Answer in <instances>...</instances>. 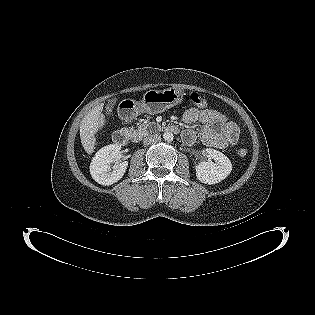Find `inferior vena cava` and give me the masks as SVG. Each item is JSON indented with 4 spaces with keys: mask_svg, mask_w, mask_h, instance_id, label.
Returning a JSON list of instances; mask_svg holds the SVG:
<instances>
[{
    "mask_svg": "<svg viewBox=\"0 0 315 315\" xmlns=\"http://www.w3.org/2000/svg\"><path fill=\"white\" fill-rule=\"evenodd\" d=\"M159 140H161V135L158 134V133H155V134H152V135H148L144 138L143 140V143L145 145H149V144H152V143H156L158 142Z\"/></svg>",
    "mask_w": 315,
    "mask_h": 315,
    "instance_id": "602c4592",
    "label": "inferior vena cava"
}]
</instances>
